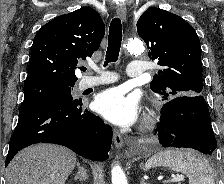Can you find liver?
<instances>
[{
	"label": "liver",
	"mask_w": 224,
	"mask_h": 184,
	"mask_svg": "<svg viewBox=\"0 0 224 184\" xmlns=\"http://www.w3.org/2000/svg\"><path fill=\"white\" fill-rule=\"evenodd\" d=\"M76 155L65 147L37 144L20 151L6 169V184H65Z\"/></svg>",
	"instance_id": "obj_1"
}]
</instances>
